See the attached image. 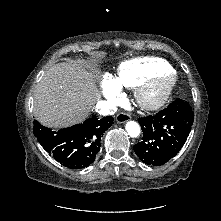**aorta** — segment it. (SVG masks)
Masks as SVG:
<instances>
[{
	"mask_svg": "<svg viewBox=\"0 0 221 221\" xmlns=\"http://www.w3.org/2000/svg\"><path fill=\"white\" fill-rule=\"evenodd\" d=\"M125 128H126L127 133L133 138L138 137L140 134V126L135 121H128L126 123Z\"/></svg>",
	"mask_w": 221,
	"mask_h": 221,
	"instance_id": "1",
	"label": "aorta"
}]
</instances>
